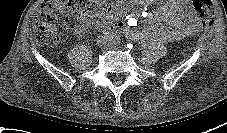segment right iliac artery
<instances>
[{
  "mask_svg": "<svg viewBox=\"0 0 227 133\" xmlns=\"http://www.w3.org/2000/svg\"><path fill=\"white\" fill-rule=\"evenodd\" d=\"M105 34L110 38V40H112L113 36H115L114 32H105Z\"/></svg>",
  "mask_w": 227,
  "mask_h": 133,
  "instance_id": "right-iliac-artery-1",
  "label": "right iliac artery"
}]
</instances>
